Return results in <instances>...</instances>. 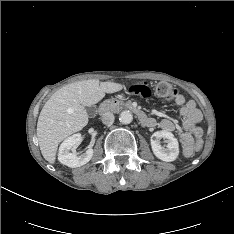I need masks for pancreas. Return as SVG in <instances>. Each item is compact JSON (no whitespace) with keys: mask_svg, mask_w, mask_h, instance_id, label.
Masks as SVG:
<instances>
[{"mask_svg":"<svg viewBox=\"0 0 234 234\" xmlns=\"http://www.w3.org/2000/svg\"><path fill=\"white\" fill-rule=\"evenodd\" d=\"M121 102L115 103L113 99H108L102 104L105 111H116Z\"/></svg>","mask_w":234,"mask_h":234,"instance_id":"pancreas-1","label":"pancreas"}]
</instances>
